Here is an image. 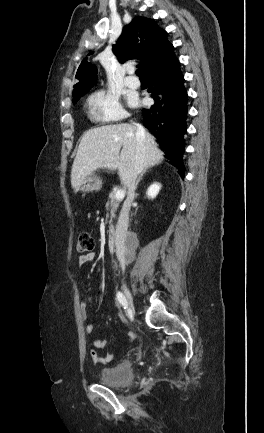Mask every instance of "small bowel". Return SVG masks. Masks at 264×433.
I'll return each instance as SVG.
<instances>
[{
	"instance_id": "1",
	"label": "small bowel",
	"mask_w": 264,
	"mask_h": 433,
	"mask_svg": "<svg viewBox=\"0 0 264 433\" xmlns=\"http://www.w3.org/2000/svg\"><path fill=\"white\" fill-rule=\"evenodd\" d=\"M94 259H95L94 253H88V254L81 255L78 259V265L81 267V266L85 265L86 263L92 262ZM91 301H92L91 295L85 294V295L81 296L80 303H79V312H80L81 319L83 321L87 320V307ZM93 330H94V324L87 323L85 325V331L87 333H92ZM131 337H132V334L128 333V339H131ZM106 345H107V341L105 339L95 338L92 340L91 347H90V356H91L94 363L106 364V363H109L113 360L114 355L112 353H108L105 356L99 355V350L105 348Z\"/></svg>"
}]
</instances>
